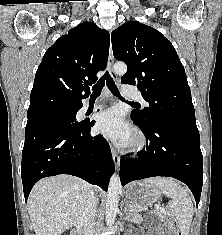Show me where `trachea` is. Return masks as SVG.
Instances as JSON below:
<instances>
[{"label":"trachea","mask_w":222,"mask_h":235,"mask_svg":"<svg viewBox=\"0 0 222 235\" xmlns=\"http://www.w3.org/2000/svg\"><path fill=\"white\" fill-rule=\"evenodd\" d=\"M106 85L109 88V90L116 96L121 97L119 90L114 82V80L112 79V77L110 76V74L108 72H106L101 78L100 80L97 82L96 85H94L92 87V95L91 96H99L101 94V90L103 88V86ZM133 104L138 105V103L132 102Z\"/></svg>","instance_id":"1"}]
</instances>
